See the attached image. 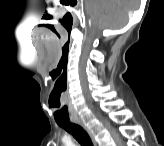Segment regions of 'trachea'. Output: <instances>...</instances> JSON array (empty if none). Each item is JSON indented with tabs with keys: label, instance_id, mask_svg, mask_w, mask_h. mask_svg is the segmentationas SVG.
<instances>
[{
	"label": "trachea",
	"instance_id": "obj_1",
	"mask_svg": "<svg viewBox=\"0 0 164 146\" xmlns=\"http://www.w3.org/2000/svg\"><path fill=\"white\" fill-rule=\"evenodd\" d=\"M57 124L70 133L81 146H92L88 133L78 124L68 121L57 122Z\"/></svg>",
	"mask_w": 164,
	"mask_h": 146
}]
</instances>
